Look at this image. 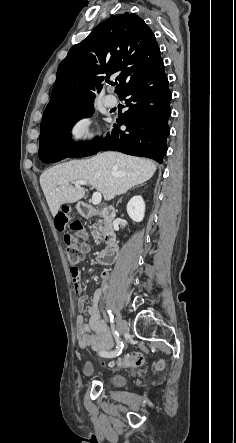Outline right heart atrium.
I'll return each instance as SVG.
<instances>
[{
    "label": "right heart atrium",
    "mask_w": 236,
    "mask_h": 443,
    "mask_svg": "<svg viewBox=\"0 0 236 443\" xmlns=\"http://www.w3.org/2000/svg\"><path fill=\"white\" fill-rule=\"evenodd\" d=\"M67 142L73 147H88L96 140L92 118L83 114L71 121L66 130Z\"/></svg>",
    "instance_id": "right-heart-atrium-1"
}]
</instances>
